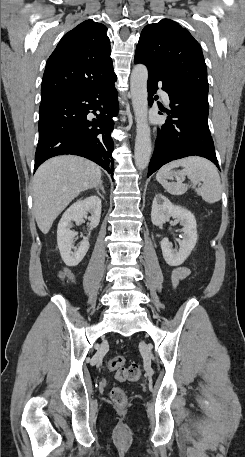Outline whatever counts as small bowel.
I'll return each instance as SVG.
<instances>
[{"label":"small bowel","instance_id":"c3829d8e","mask_svg":"<svg viewBox=\"0 0 245 457\" xmlns=\"http://www.w3.org/2000/svg\"><path fill=\"white\" fill-rule=\"evenodd\" d=\"M189 274H190V269L187 268V267H176V268H174L169 274V277H170L172 285L174 287H176L179 284V282L181 280L185 279L186 277H188ZM58 275H59V278L62 281L75 282V276L71 272V270L68 269V268H62L59 271Z\"/></svg>","mask_w":245,"mask_h":457}]
</instances>
